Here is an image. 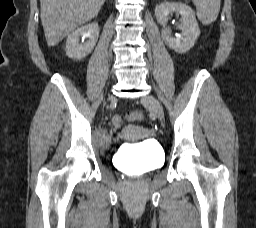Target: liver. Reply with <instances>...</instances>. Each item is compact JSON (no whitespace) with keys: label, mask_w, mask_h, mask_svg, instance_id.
Wrapping results in <instances>:
<instances>
[{"label":"liver","mask_w":256,"mask_h":228,"mask_svg":"<svg viewBox=\"0 0 256 228\" xmlns=\"http://www.w3.org/2000/svg\"><path fill=\"white\" fill-rule=\"evenodd\" d=\"M105 0H40L41 22L49 47L92 20Z\"/></svg>","instance_id":"liver-1"}]
</instances>
